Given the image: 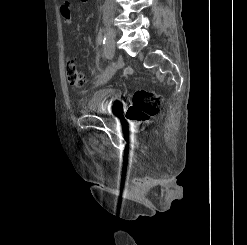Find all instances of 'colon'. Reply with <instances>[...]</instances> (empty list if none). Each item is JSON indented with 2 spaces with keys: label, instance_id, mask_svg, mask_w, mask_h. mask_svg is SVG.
<instances>
[{
  "label": "colon",
  "instance_id": "colon-1",
  "mask_svg": "<svg viewBox=\"0 0 247 245\" xmlns=\"http://www.w3.org/2000/svg\"><path fill=\"white\" fill-rule=\"evenodd\" d=\"M66 76L70 85L81 87L87 82V75L78 70L75 58L68 56L65 62ZM161 98L148 90H137L132 97V106L128 111L129 119L142 122L156 114Z\"/></svg>",
  "mask_w": 247,
  "mask_h": 245
}]
</instances>
